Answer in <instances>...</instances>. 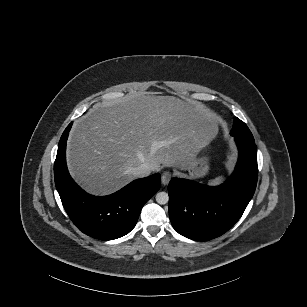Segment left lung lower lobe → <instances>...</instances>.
I'll return each instance as SVG.
<instances>
[{
  "label": "left lung lower lobe",
  "mask_w": 307,
  "mask_h": 307,
  "mask_svg": "<svg viewBox=\"0 0 307 307\" xmlns=\"http://www.w3.org/2000/svg\"><path fill=\"white\" fill-rule=\"evenodd\" d=\"M239 158L232 176L218 187L172 178L168 185L169 217L181 235L206 241L228 231L251 200L258 177L253 139L234 137Z\"/></svg>",
  "instance_id": "1"
}]
</instances>
